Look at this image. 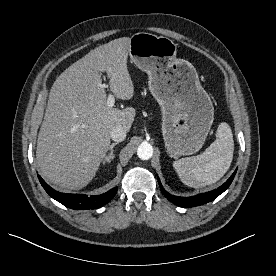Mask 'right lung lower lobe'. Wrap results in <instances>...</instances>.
I'll use <instances>...</instances> for the list:
<instances>
[{"label": "right lung lower lobe", "instance_id": "right-lung-lower-lobe-1", "mask_svg": "<svg viewBox=\"0 0 276 276\" xmlns=\"http://www.w3.org/2000/svg\"><path fill=\"white\" fill-rule=\"evenodd\" d=\"M39 181L45 191L55 200L63 204L64 206L75 210H88L99 208L107 204L117 193V187L109 190L108 192L96 195L87 196L81 194H67L60 193L52 189L46 182L38 175Z\"/></svg>", "mask_w": 276, "mask_h": 276}]
</instances>
